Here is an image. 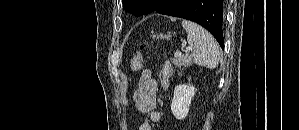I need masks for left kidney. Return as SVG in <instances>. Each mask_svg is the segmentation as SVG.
<instances>
[{
    "instance_id": "obj_1",
    "label": "left kidney",
    "mask_w": 299,
    "mask_h": 130,
    "mask_svg": "<svg viewBox=\"0 0 299 130\" xmlns=\"http://www.w3.org/2000/svg\"><path fill=\"white\" fill-rule=\"evenodd\" d=\"M193 85H178L175 87L174 96L171 103V111L176 119H184L189 112L192 98L195 94Z\"/></svg>"
}]
</instances>
